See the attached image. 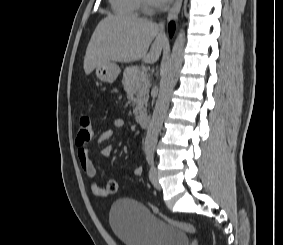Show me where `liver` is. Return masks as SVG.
<instances>
[{
  "instance_id": "6515ba94",
  "label": "liver",
  "mask_w": 283,
  "mask_h": 245,
  "mask_svg": "<svg viewBox=\"0 0 283 245\" xmlns=\"http://www.w3.org/2000/svg\"><path fill=\"white\" fill-rule=\"evenodd\" d=\"M165 44L166 37L160 25L133 16L109 15L97 25L87 46L85 74L89 75L107 62L142 60L155 63Z\"/></svg>"
}]
</instances>
